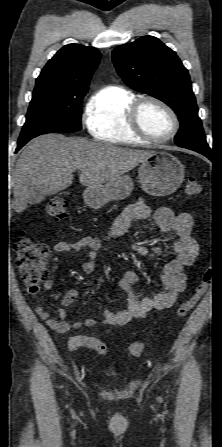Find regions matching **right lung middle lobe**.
Wrapping results in <instances>:
<instances>
[{"label": "right lung middle lobe", "instance_id": "1", "mask_svg": "<svg viewBox=\"0 0 222 447\" xmlns=\"http://www.w3.org/2000/svg\"><path fill=\"white\" fill-rule=\"evenodd\" d=\"M84 95H68L47 87L35 88L18 140V148L41 134L81 130V105Z\"/></svg>", "mask_w": 222, "mask_h": 447}]
</instances>
